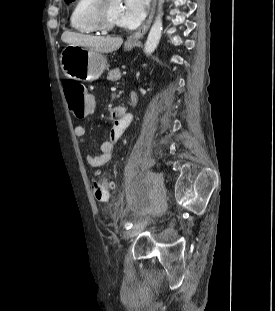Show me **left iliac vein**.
<instances>
[{"label":"left iliac vein","mask_w":275,"mask_h":311,"mask_svg":"<svg viewBox=\"0 0 275 311\" xmlns=\"http://www.w3.org/2000/svg\"><path fill=\"white\" fill-rule=\"evenodd\" d=\"M147 225V220L139 221L137 224H135L132 228L128 229L124 233L125 238H132L136 235H138Z\"/></svg>","instance_id":"obj_1"}]
</instances>
